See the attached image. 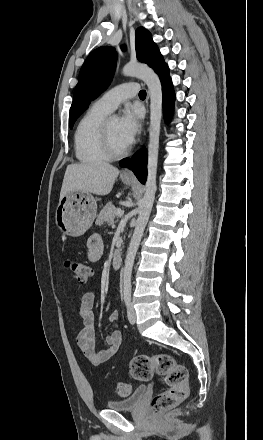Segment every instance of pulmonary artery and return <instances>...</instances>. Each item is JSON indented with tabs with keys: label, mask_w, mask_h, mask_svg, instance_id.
Listing matches in <instances>:
<instances>
[{
	"label": "pulmonary artery",
	"mask_w": 263,
	"mask_h": 440,
	"mask_svg": "<svg viewBox=\"0 0 263 440\" xmlns=\"http://www.w3.org/2000/svg\"><path fill=\"white\" fill-rule=\"evenodd\" d=\"M140 91V85L134 82L120 84L107 92L96 100V104L105 110L111 112L115 110L120 103L134 97Z\"/></svg>",
	"instance_id": "obj_1"
}]
</instances>
